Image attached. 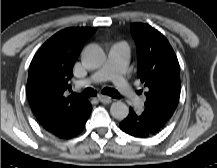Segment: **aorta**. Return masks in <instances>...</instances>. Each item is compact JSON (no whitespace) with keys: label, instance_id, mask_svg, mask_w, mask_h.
<instances>
[{"label":"aorta","instance_id":"obj_1","mask_svg":"<svg viewBox=\"0 0 217 168\" xmlns=\"http://www.w3.org/2000/svg\"><path fill=\"white\" fill-rule=\"evenodd\" d=\"M82 60L87 67L97 69L104 64L106 55L99 46L89 45L83 51ZM110 113L115 119L123 120L128 116L129 108L125 103L117 101L112 103Z\"/></svg>","mask_w":217,"mask_h":168}]
</instances>
